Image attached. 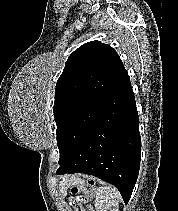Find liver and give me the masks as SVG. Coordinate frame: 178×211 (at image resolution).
Here are the masks:
<instances>
[{
	"instance_id": "6515ba94",
	"label": "liver",
	"mask_w": 178,
	"mask_h": 211,
	"mask_svg": "<svg viewBox=\"0 0 178 211\" xmlns=\"http://www.w3.org/2000/svg\"><path fill=\"white\" fill-rule=\"evenodd\" d=\"M72 182V179L65 178L64 181L61 182V186H64L65 184Z\"/></svg>"
}]
</instances>
